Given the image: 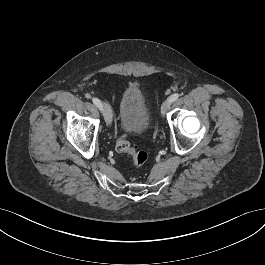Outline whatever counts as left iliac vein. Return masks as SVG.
Here are the masks:
<instances>
[{
	"label": "left iliac vein",
	"instance_id": "4c4485c4",
	"mask_svg": "<svg viewBox=\"0 0 265 265\" xmlns=\"http://www.w3.org/2000/svg\"><path fill=\"white\" fill-rule=\"evenodd\" d=\"M170 105H171V101L169 99L165 100L162 103V106H161V114L162 115H165L166 114V112L168 111Z\"/></svg>",
	"mask_w": 265,
	"mask_h": 265
}]
</instances>
